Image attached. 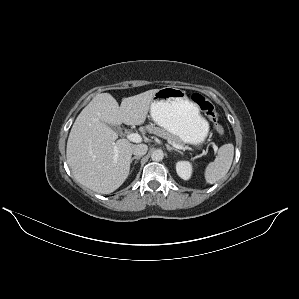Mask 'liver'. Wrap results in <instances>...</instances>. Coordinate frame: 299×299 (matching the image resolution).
Segmentation results:
<instances>
[{
    "mask_svg": "<svg viewBox=\"0 0 299 299\" xmlns=\"http://www.w3.org/2000/svg\"><path fill=\"white\" fill-rule=\"evenodd\" d=\"M157 90L124 98L120 106L111 94H97L81 111L71 128L66 148L67 163L80 184L109 194L124 183L135 145L126 139L117 140V134L105 123L142 125Z\"/></svg>",
    "mask_w": 299,
    "mask_h": 299,
    "instance_id": "1",
    "label": "liver"
}]
</instances>
